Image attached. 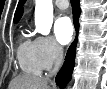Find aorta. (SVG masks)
I'll return each instance as SVG.
<instances>
[{"instance_id":"aorta-1","label":"aorta","mask_w":107,"mask_h":89,"mask_svg":"<svg viewBox=\"0 0 107 89\" xmlns=\"http://www.w3.org/2000/svg\"><path fill=\"white\" fill-rule=\"evenodd\" d=\"M53 23L52 0L35 1V27L36 31L42 35L50 33Z\"/></svg>"}]
</instances>
